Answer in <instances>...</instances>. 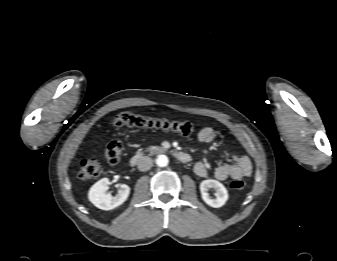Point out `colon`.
Returning a JSON list of instances; mask_svg holds the SVG:
<instances>
[{
	"mask_svg": "<svg viewBox=\"0 0 337 261\" xmlns=\"http://www.w3.org/2000/svg\"><path fill=\"white\" fill-rule=\"evenodd\" d=\"M115 128L134 127L151 128L171 131L182 136H192L196 132L195 126L187 121H171L167 119L151 118L131 113H121L114 117ZM123 145L119 141H111L104 148V156L110 164H117L122 157ZM103 173L101 164L94 158H86L81 161L78 176L82 180H90L99 177ZM246 183L242 179H234L230 182L233 190H242Z\"/></svg>",
	"mask_w": 337,
	"mask_h": 261,
	"instance_id": "5ec220e1",
	"label": "colon"
}]
</instances>
